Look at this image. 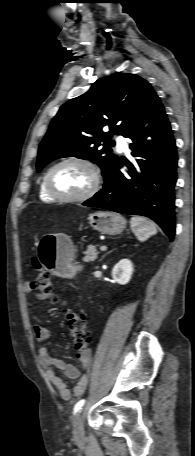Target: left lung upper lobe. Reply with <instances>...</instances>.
<instances>
[{"mask_svg": "<svg viewBox=\"0 0 195 456\" xmlns=\"http://www.w3.org/2000/svg\"><path fill=\"white\" fill-rule=\"evenodd\" d=\"M155 97L148 81L135 74L97 80L53 118L39 147L37 170L58 158L77 157L96 163L105 179L119 161L111 154L110 146L115 144L111 137L125 136Z\"/></svg>", "mask_w": 195, "mask_h": 456, "instance_id": "left-lung-upper-lobe-1", "label": "left lung upper lobe"}]
</instances>
